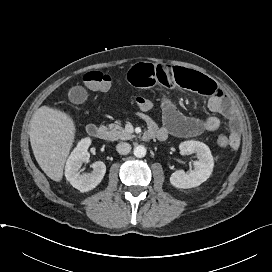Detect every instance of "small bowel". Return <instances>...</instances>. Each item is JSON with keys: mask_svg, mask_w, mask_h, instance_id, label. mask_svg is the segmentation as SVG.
I'll list each match as a JSON object with an SVG mask.
<instances>
[{"mask_svg": "<svg viewBox=\"0 0 272 272\" xmlns=\"http://www.w3.org/2000/svg\"><path fill=\"white\" fill-rule=\"evenodd\" d=\"M128 78L134 86L139 88H151L156 85L168 88L181 87L207 96L210 111L221 114L227 119L229 146L233 149L239 148L240 134L235 108L213 80L187 68L149 62L134 66ZM160 107L162 126H158L149 115L140 114L148 125V131L159 140H165L169 136L194 137L205 132L216 131L221 126L217 116L200 119L184 115L168 98H162Z\"/></svg>", "mask_w": 272, "mask_h": 272, "instance_id": "1", "label": "small bowel"}]
</instances>
